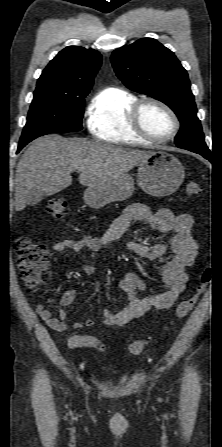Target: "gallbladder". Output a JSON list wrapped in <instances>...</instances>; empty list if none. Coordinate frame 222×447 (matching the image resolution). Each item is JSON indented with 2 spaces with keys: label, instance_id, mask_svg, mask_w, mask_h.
<instances>
[{
  "label": "gallbladder",
  "instance_id": "bac80fb5",
  "mask_svg": "<svg viewBox=\"0 0 222 447\" xmlns=\"http://www.w3.org/2000/svg\"><path fill=\"white\" fill-rule=\"evenodd\" d=\"M44 195L42 194H37L36 196H34L33 198L29 199L27 204L28 205H35L37 203H39L42 199H43Z\"/></svg>",
  "mask_w": 222,
  "mask_h": 447
}]
</instances>
